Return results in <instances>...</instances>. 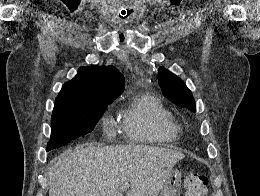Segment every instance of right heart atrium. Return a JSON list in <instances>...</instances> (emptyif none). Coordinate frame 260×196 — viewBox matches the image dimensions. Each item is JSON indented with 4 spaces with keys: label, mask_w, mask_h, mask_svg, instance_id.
Segmentation results:
<instances>
[{
    "label": "right heart atrium",
    "mask_w": 260,
    "mask_h": 196,
    "mask_svg": "<svg viewBox=\"0 0 260 196\" xmlns=\"http://www.w3.org/2000/svg\"><path fill=\"white\" fill-rule=\"evenodd\" d=\"M111 128V125L108 121L104 122V129L108 130ZM127 192H151V190H127Z\"/></svg>",
    "instance_id": "d8ad5b80"
}]
</instances>
